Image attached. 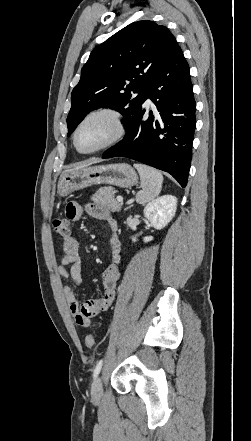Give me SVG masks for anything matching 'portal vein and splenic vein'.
Instances as JSON below:
<instances>
[{"mask_svg": "<svg viewBox=\"0 0 251 441\" xmlns=\"http://www.w3.org/2000/svg\"><path fill=\"white\" fill-rule=\"evenodd\" d=\"M117 201L119 203H123V197L122 196H117Z\"/></svg>", "mask_w": 251, "mask_h": 441, "instance_id": "portal-vein-and-splenic-vein-1", "label": "portal vein and splenic vein"}]
</instances>
